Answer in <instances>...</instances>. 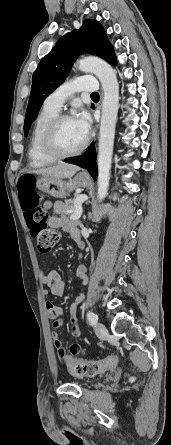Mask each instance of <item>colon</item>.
<instances>
[{
    "instance_id": "5ec220e1",
    "label": "colon",
    "mask_w": 171,
    "mask_h": 445,
    "mask_svg": "<svg viewBox=\"0 0 171 445\" xmlns=\"http://www.w3.org/2000/svg\"><path fill=\"white\" fill-rule=\"evenodd\" d=\"M18 198L31 236L36 240L40 252H50L60 239V233L50 225V216L42 203V196L35 189L33 177L26 176L18 181ZM114 357L96 361L68 359L69 372L78 377H92L114 363Z\"/></svg>"
}]
</instances>
